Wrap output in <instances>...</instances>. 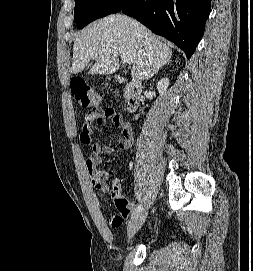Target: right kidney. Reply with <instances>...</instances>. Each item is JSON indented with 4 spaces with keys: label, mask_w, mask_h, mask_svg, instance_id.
Instances as JSON below:
<instances>
[{
    "label": "right kidney",
    "mask_w": 253,
    "mask_h": 271,
    "mask_svg": "<svg viewBox=\"0 0 253 271\" xmlns=\"http://www.w3.org/2000/svg\"><path fill=\"white\" fill-rule=\"evenodd\" d=\"M168 86H169V79L168 78H163L160 81H158L156 87H157V90H158L161 97L166 94ZM138 116L139 115L135 116L136 120L138 119Z\"/></svg>",
    "instance_id": "1"
}]
</instances>
